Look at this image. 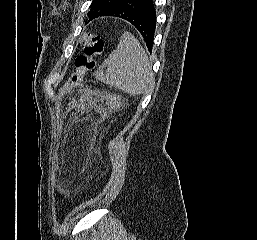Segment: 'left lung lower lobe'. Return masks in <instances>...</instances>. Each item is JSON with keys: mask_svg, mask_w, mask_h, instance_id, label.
I'll use <instances>...</instances> for the list:
<instances>
[{"mask_svg": "<svg viewBox=\"0 0 257 240\" xmlns=\"http://www.w3.org/2000/svg\"><path fill=\"white\" fill-rule=\"evenodd\" d=\"M102 16H114L131 23L142 35L148 50L152 51L156 27L153 0H120Z\"/></svg>", "mask_w": 257, "mask_h": 240, "instance_id": "left-lung-lower-lobe-1", "label": "left lung lower lobe"}]
</instances>
